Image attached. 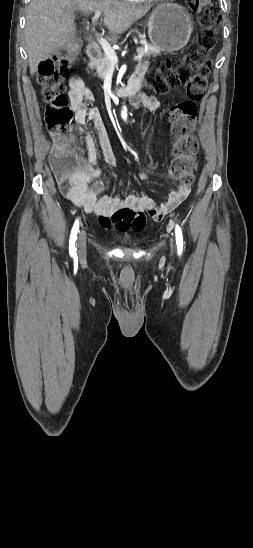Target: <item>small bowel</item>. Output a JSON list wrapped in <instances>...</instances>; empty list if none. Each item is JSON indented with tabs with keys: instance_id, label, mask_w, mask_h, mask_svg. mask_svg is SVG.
<instances>
[{
	"instance_id": "small-bowel-1",
	"label": "small bowel",
	"mask_w": 253,
	"mask_h": 548,
	"mask_svg": "<svg viewBox=\"0 0 253 548\" xmlns=\"http://www.w3.org/2000/svg\"><path fill=\"white\" fill-rule=\"evenodd\" d=\"M145 70L146 64L139 65L132 79L142 78ZM68 95L75 113V121L83 128L82 133L87 151L86 158L78 159L75 171L67 185L59 182L60 189L68 200L86 213L98 215L101 225L105 228L114 227L121 232L129 230L140 232L145 227V212H148L154 221H161L188 197L191 184H186L181 180L177 187L170 192L167 200L159 205L145 194L130 193L124 199L118 196L102 195L105 187L104 182L100 179L102 169L96 167L95 164L98 160L99 144L105 162L111 167L116 166L110 139L99 110L95 107L88 109L86 105V102L93 100V95L80 77L70 78ZM131 104L143 106L149 111H156L160 108V102L156 97L141 92L131 97ZM87 123L92 125L95 135L85 127ZM140 177L144 180L148 178L143 172L140 173Z\"/></svg>"
}]
</instances>
